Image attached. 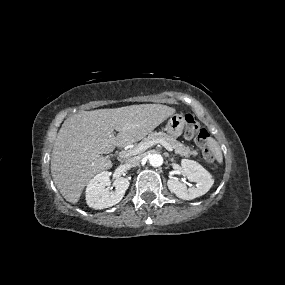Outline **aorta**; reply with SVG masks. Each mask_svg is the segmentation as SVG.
<instances>
[{"instance_id": "aorta-1", "label": "aorta", "mask_w": 285, "mask_h": 285, "mask_svg": "<svg viewBox=\"0 0 285 285\" xmlns=\"http://www.w3.org/2000/svg\"><path fill=\"white\" fill-rule=\"evenodd\" d=\"M149 163L153 167H159L163 164V157L160 154H152L149 156Z\"/></svg>"}]
</instances>
